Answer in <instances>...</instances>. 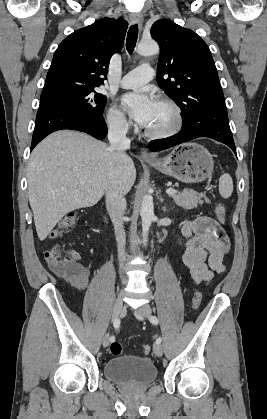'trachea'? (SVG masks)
Listing matches in <instances>:
<instances>
[{
	"instance_id": "obj_1",
	"label": "trachea",
	"mask_w": 267,
	"mask_h": 419,
	"mask_svg": "<svg viewBox=\"0 0 267 419\" xmlns=\"http://www.w3.org/2000/svg\"><path fill=\"white\" fill-rule=\"evenodd\" d=\"M138 38V26L132 25L129 28V31L127 33V39H126V49L129 53H132L137 42Z\"/></svg>"
}]
</instances>
